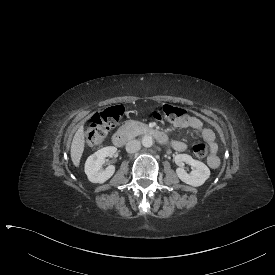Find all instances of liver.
I'll use <instances>...</instances> for the list:
<instances>
[{"label":"liver","instance_id":"liver-1","mask_svg":"<svg viewBox=\"0 0 275 275\" xmlns=\"http://www.w3.org/2000/svg\"><path fill=\"white\" fill-rule=\"evenodd\" d=\"M85 147L84 126H80L76 131L70 146V156L73 165L78 169Z\"/></svg>","mask_w":275,"mask_h":275}]
</instances>
